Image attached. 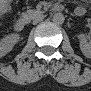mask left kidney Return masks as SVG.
<instances>
[{
    "instance_id": "obj_1",
    "label": "left kidney",
    "mask_w": 91,
    "mask_h": 91,
    "mask_svg": "<svg viewBox=\"0 0 91 91\" xmlns=\"http://www.w3.org/2000/svg\"><path fill=\"white\" fill-rule=\"evenodd\" d=\"M79 40H80V49H81L82 53L86 57H89L91 54V45H90V43L87 42L86 36L84 34H80Z\"/></svg>"
}]
</instances>
